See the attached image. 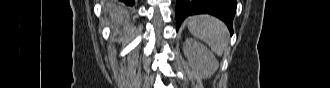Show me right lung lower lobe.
I'll use <instances>...</instances> for the list:
<instances>
[{
	"instance_id": "1",
	"label": "right lung lower lobe",
	"mask_w": 330,
	"mask_h": 88,
	"mask_svg": "<svg viewBox=\"0 0 330 88\" xmlns=\"http://www.w3.org/2000/svg\"><path fill=\"white\" fill-rule=\"evenodd\" d=\"M121 2H124L128 6H133L134 5V0H120Z\"/></svg>"
}]
</instances>
